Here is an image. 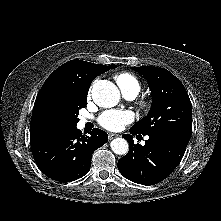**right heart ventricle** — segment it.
<instances>
[{
    "instance_id": "e07e8e85",
    "label": "right heart ventricle",
    "mask_w": 221,
    "mask_h": 221,
    "mask_svg": "<svg viewBox=\"0 0 221 221\" xmlns=\"http://www.w3.org/2000/svg\"><path fill=\"white\" fill-rule=\"evenodd\" d=\"M115 80L123 94L135 93L140 91L141 84L139 80L131 73L122 72L115 76Z\"/></svg>"
}]
</instances>
